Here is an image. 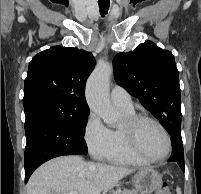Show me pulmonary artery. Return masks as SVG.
Wrapping results in <instances>:
<instances>
[{
	"label": "pulmonary artery",
	"instance_id": "pulmonary-artery-1",
	"mask_svg": "<svg viewBox=\"0 0 201 194\" xmlns=\"http://www.w3.org/2000/svg\"><path fill=\"white\" fill-rule=\"evenodd\" d=\"M111 102L118 108L132 110L133 102L129 93L120 86H114L110 93Z\"/></svg>",
	"mask_w": 201,
	"mask_h": 194
}]
</instances>
